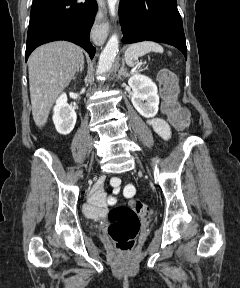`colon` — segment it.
<instances>
[{"instance_id":"5ec220e1","label":"colon","mask_w":240,"mask_h":288,"mask_svg":"<svg viewBox=\"0 0 240 288\" xmlns=\"http://www.w3.org/2000/svg\"><path fill=\"white\" fill-rule=\"evenodd\" d=\"M160 86L164 113L177 128H187L190 122L189 113L177 101V80L171 71L164 70L161 73ZM151 213L152 209L137 199L131 200L127 206H118L109 212L108 234L118 250L129 252L133 249L140 230V218L148 217Z\"/></svg>"}]
</instances>
